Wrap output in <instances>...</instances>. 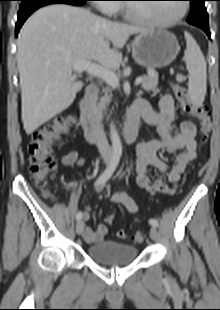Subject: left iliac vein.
<instances>
[{
    "mask_svg": "<svg viewBox=\"0 0 220 310\" xmlns=\"http://www.w3.org/2000/svg\"><path fill=\"white\" fill-rule=\"evenodd\" d=\"M149 234H150V238H151L152 240H154V241L157 240V238H158V231H157V228H156L155 226H152V227L150 228Z\"/></svg>",
    "mask_w": 220,
    "mask_h": 310,
    "instance_id": "4c4485c4",
    "label": "left iliac vein"
}]
</instances>
